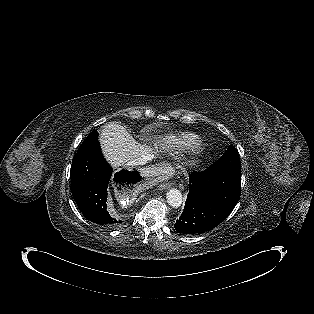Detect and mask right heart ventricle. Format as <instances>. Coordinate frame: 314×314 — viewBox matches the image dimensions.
<instances>
[{"mask_svg": "<svg viewBox=\"0 0 314 314\" xmlns=\"http://www.w3.org/2000/svg\"><path fill=\"white\" fill-rule=\"evenodd\" d=\"M195 135L187 132L171 134L167 137V141L176 148L182 149L189 146L195 139Z\"/></svg>", "mask_w": 314, "mask_h": 314, "instance_id": "right-heart-ventricle-1", "label": "right heart ventricle"}]
</instances>
